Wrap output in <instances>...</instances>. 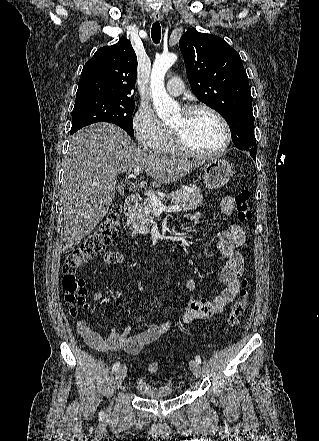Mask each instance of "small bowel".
I'll use <instances>...</instances> for the list:
<instances>
[{"label": "small bowel", "mask_w": 319, "mask_h": 441, "mask_svg": "<svg viewBox=\"0 0 319 441\" xmlns=\"http://www.w3.org/2000/svg\"><path fill=\"white\" fill-rule=\"evenodd\" d=\"M222 219L228 222L226 229L217 233V248L224 259L220 274V281L224 285L222 292L213 299L196 296V284L189 281L186 286L191 291L186 304V309L181 317L184 323L212 319L223 312L225 307L234 301L240 290V277L244 270V260L239 251L244 244L245 233L240 225L234 222V199L226 196L221 201ZM195 213L192 218L198 217ZM104 261L108 264H124L123 254L108 251L104 254ZM94 301L103 299V294L95 290L92 294ZM172 322L167 321L161 325H151L137 335L131 336V326L128 325L122 332L112 330L107 338H103L92 329L85 320H77V330L82 338L91 347L100 351H124L136 355L148 344L158 340L171 327Z\"/></svg>", "instance_id": "1"}]
</instances>
